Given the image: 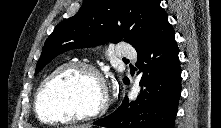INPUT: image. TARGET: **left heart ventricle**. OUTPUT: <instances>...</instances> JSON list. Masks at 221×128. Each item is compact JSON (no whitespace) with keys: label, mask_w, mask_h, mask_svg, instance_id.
Returning <instances> with one entry per match:
<instances>
[{"label":"left heart ventricle","mask_w":221,"mask_h":128,"mask_svg":"<svg viewBox=\"0 0 221 128\" xmlns=\"http://www.w3.org/2000/svg\"><path fill=\"white\" fill-rule=\"evenodd\" d=\"M101 97L96 78L87 71L74 70L47 86L40 107L48 118L66 117L96 107Z\"/></svg>","instance_id":"left-heart-ventricle-1"}]
</instances>
